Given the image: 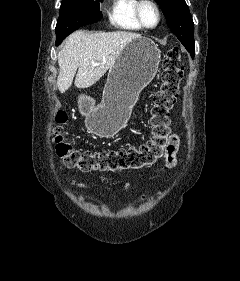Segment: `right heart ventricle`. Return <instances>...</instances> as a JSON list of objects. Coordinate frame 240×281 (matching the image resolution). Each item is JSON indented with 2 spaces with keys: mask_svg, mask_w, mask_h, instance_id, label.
Returning a JSON list of instances; mask_svg holds the SVG:
<instances>
[{
  "mask_svg": "<svg viewBox=\"0 0 240 281\" xmlns=\"http://www.w3.org/2000/svg\"><path fill=\"white\" fill-rule=\"evenodd\" d=\"M137 0H111L107 11L109 22L117 29L140 31L142 26L136 19L135 7Z\"/></svg>",
  "mask_w": 240,
  "mask_h": 281,
  "instance_id": "right-heart-ventricle-1",
  "label": "right heart ventricle"
}]
</instances>
